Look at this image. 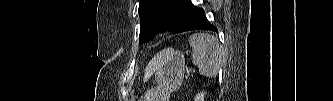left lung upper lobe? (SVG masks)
<instances>
[{"mask_svg":"<svg viewBox=\"0 0 333 101\" xmlns=\"http://www.w3.org/2000/svg\"><path fill=\"white\" fill-rule=\"evenodd\" d=\"M184 14L176 0H140L139 44L150 41L161 32L174 33Z\"/></svg>","mask_w":333,"mask_h":101,"instance_id":"obj_1","label":"left lung upper lobe"}]
</instances>
